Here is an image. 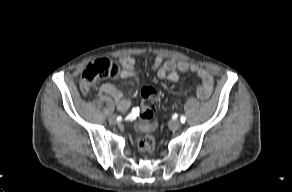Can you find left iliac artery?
<instances>
[{
	"mask_svg": "<svg viewBox=\"0 0 292 192\" xmlns=\"http://www.w3.org/2000/svg\"><path fill=\"white\" fill-rule=\"evenodd\" d=\"M180 120H181L182 123H185V121H186V116L182 115V116L180 117Z\"/></svg>",
	"mask_w": 292,
	"mask_h": 192,
	"instance_id": "obj_1",
	"label": "left iliac artery"
}]
</instances>
